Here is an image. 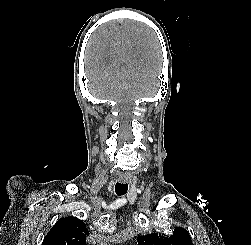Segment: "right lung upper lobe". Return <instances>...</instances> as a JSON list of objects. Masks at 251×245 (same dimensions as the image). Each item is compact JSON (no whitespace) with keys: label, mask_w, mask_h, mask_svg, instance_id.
Wrapping results in <instances>:
<instances>
[{"label":"right lung upper lobe","mask_w":251,"mask_h":245,"mask_svg":"<svg viewBox=\"0 0 251 245\" xmlns=\"http://www.w3.org/2000/svg\"><path fill=\"white\" fill-rule=\"evenodd\" d=\"M87 235L88 230L82 220L65 217L51 228L42 245H85Z\"/></svg>","instance_id":"1"}]
</instances>
